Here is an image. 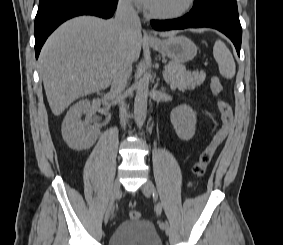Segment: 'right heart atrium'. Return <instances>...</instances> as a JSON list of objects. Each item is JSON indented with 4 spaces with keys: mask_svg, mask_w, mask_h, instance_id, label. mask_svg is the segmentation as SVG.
Here are the masks:
<instances>
[{
    "mask_svg": "<svg viewBox=\"0 0 283 245\" xmlns=\"http://www.w3.org/2000/svg\"><path fill=\"white\" fill-rule=\"evenodd\" d=\"M131 1L132 0H120L121 4L125 7L131 6Z\"/></svg>",
    "mask_w": 283,
    "mask_h": 245,
    "instance_id": "1",
    "label": "right heart atrium"
}]
</instances>
